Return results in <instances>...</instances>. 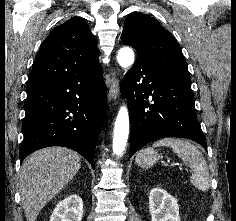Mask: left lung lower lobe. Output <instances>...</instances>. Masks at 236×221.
Listing matches in <instances>:
<instances>
[{
    "instance_id": "left-lung-lower-lobe-1",
    "label": "left lung lower lobe",
    "mask_w": 236,
    "mask_h": 221,
    "mask_svg": "<svg viewBox=\"0 0 236 221\" xmlns=\"http://www.w3.org/2000/svg\"><path fill=\"white\" fill-rule=\"evenodd\" d=\"M131 121L130 157L163 137L188 138L207 150L196 117L191 78L153 62L137 59L121 83ZM152 97V103L147 100Z\"/></svg>"
}]
</instances>
